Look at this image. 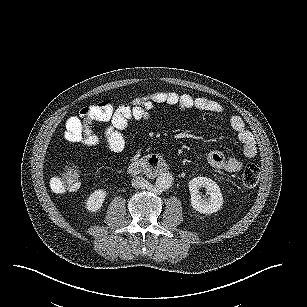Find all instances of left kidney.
<instances>
[{"label":"left kidney","instance_id":"obj_1","mask_svg":"<svg viewBox=\"0 0 307 307\" xmlns=\"http://www.w3.org/2000/svg\"><path fill=\"white\" fill-rule=\"evenodd\" d=\"M205 188V194H202ZM189 190L192 206L199 212L213 213L223 204L219 186L211 179L197 177L190 181Z\"/></svg>","mask_w":307,"mask_h":307}]
</instances>
